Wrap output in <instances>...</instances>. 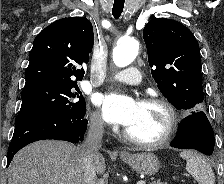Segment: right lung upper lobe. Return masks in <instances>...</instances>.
<instances>
[{
  "instance_id": "obj_1",
  "label": "right lung upper lobe",
  "mask_w": 224,
  "mask_h": 184,
  "mask_svg": "<svg viewBox=\"0 0 224 184\" xmlns=\"http://www.w3.org/2000/svg\"><path fill=\"white\" fill-rule=\"evenodd\" d=\"M94 44L92 24L85 17L59 19L35 38L29 55L26 84L46 80L73 83L84 76Z\"/></svg>"
}]
</instances>
